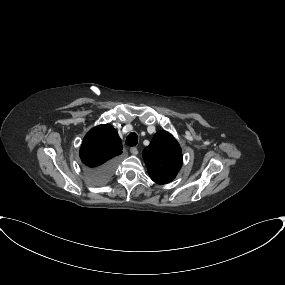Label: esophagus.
<instances>
[{
  "label": "esophagus",
  "mask_w": 285,
  "mask_h": 285,
  "mask_svg": "<svg viewBox=\"0 0 285 285\" xmlns=\"http://www.w3.org/2000/svg\"><path fill=\"white\" fill-rule=\"evenodd\" d=\"M130 152L133 154V155H136L138 153V149L136 147H132L130 149Z\"/></svg>",
  "instance_id": "obj_1"
}]
</instances>
